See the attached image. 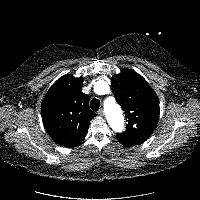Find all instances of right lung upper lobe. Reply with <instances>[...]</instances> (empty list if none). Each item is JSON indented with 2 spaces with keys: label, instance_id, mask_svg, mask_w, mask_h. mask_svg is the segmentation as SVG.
<instances>
[{
  "label": "right lung upper lobe",
  "instance_id": "obj_1",
  "mask_svg": "<svg viewBox=\"0 0 200 200\" xmlns=\"http://www.w3.org/2000/svg\"><path fill=\"white\" fill-rule=\"evenodd\" d=\"M84 79L65 75L45 95L42 119L50 137L59 145L72 148L87 135L96 113L89 108V96L82 92Z\"/></svg>",
  "mask_w": 200,
  "mask_h": 200
}]
</instances>
